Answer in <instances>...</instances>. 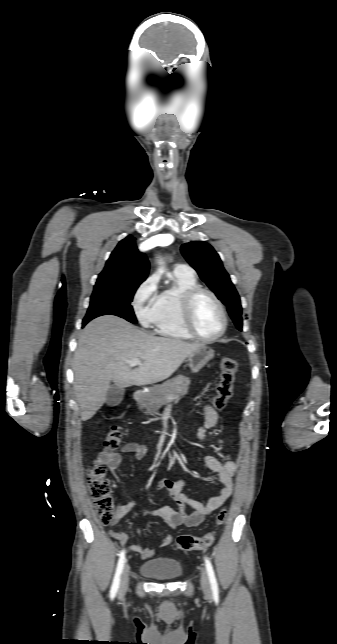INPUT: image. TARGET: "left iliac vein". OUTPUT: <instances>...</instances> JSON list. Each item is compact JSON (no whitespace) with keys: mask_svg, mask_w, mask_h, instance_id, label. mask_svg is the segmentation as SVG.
<instances>
[{"mask_svg":"<svg viewBox=\"0 0 337 644\" xmlns=\"http://www.w3.org/2000/svg\"><path fill=\"white\" fill-rule=\"evenodd\" d=\"M201 586L206 594L210 593V582L207 572L203 569L201 572Z\"/></svg>","mask_w":337,"mask_h":644,"instance_id":"1","label":"left iliac vein"}]
</instances>
